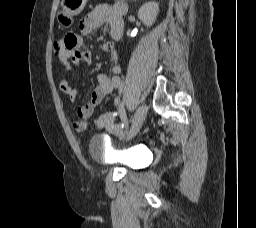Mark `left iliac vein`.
I'll list each match as a JSON object with an SVG mask.
<instances>
[{
	"instance_id": "obj_1",
	"label": "left iliac vein",
	"mask_w": 256,
	"mask_h": 228,
	"mask_svg": "<svg viewBox=\"0 0 256 228\" xmlns=\"http://www.w3.org/2000/svg\"><path fill=\"white\" fill-rule=\"evenodd\" d=\"M147 110H148V108H147L146 104H142L138 107V109L134 115V119H133L131 128L127 132L126 138L128 140L132 139L139 132V130L146 118Z\"/></svg>"
}]
</instances>
